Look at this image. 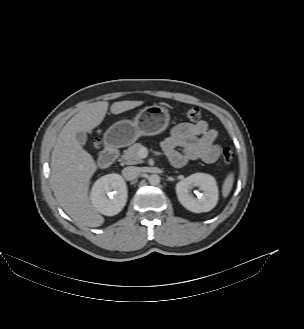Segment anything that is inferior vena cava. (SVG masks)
I'll return each instance as SVG.
<instances>
[{
    "label": "inferior vena cava",
    "instance_id": "inferior-vena-cava-1",
    "mask_svg": "<svg viewBox=\"0 0 304 329\" xmlns=\"http://www.w3.org/2000/svg\"><path fill=\"white\" fill-rule=\"evenodd\" d=\"M123 177L128 180H134L139 175V168L136 166H128L122 170Z\"/></svg>",
    "mask_w": 304,
    "mask_h": 329
}]
</instances>
